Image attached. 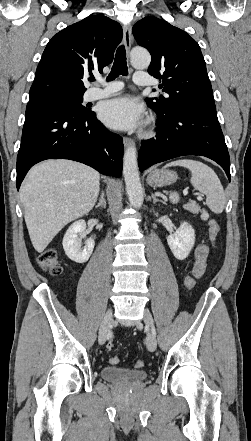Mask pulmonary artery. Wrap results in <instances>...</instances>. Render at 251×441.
<instances>
[{
    "label": "pulmonary artery",
    "mask_w": 251,
    "mask_h": 441,
    "mask_svg": "<svg viewBox=\"0 0 251 441\" xmlns=\"http://www.w3.org/2000/svg\"><path fill=\"white\" fill-rule=\"evenodd\" d=\"M133 81L137 85H150L152 82L150 76L141 71L134 74ZM97 83L99 84V87H92L86 91V100L91 101L105 98L115 94L122 88V84L120 82H106L104 79H98Z\"/></svg>",
    "instance_id": "pulmonary-artery-1"
}]
</instances>
